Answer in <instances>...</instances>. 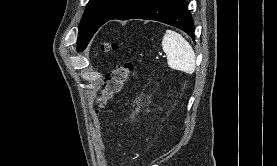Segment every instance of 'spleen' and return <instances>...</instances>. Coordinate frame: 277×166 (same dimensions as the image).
I'll return each mask as SVG.
<instances>
[{
    "label": "spleen",
    "instance_id": "obj_1",
    "mask_svg": "<svg viewBox=\"0 0 277 166\" xmlns=\"http://www.w3.org/2000/svg\"><path fill=\"white\" fill-rule=\"evenodd\" d=\"M162 48L167 56L168 66L188 74L195 71V53L191 45L179 33L166 30Z\"/></svg>",
    "mask_w": 277,
    "mask_h": 166
}]
</instances>
